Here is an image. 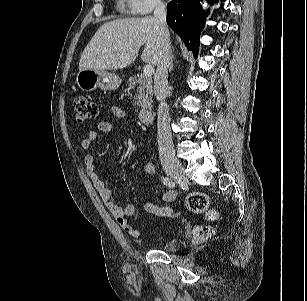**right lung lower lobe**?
I'll return each instance as SVG.
<instances>
[{"label":"right lung lower lobe","mask_w":307,"mask_h":301,"mask_svg":"<svg viewBox=\"0 0 307 301\" xmlns=\"http://www.w3.org/2000/svg\"><path fill=\"white\" fill-rule=\"evenodd\" d=\"M213 4L215 0H207ZM204 12L200 0H173L167 5V24L181 37L194 55L198 54L199 36L204 26Z\"/></svg>","instance_id":"obj_1"}]
</instances>
